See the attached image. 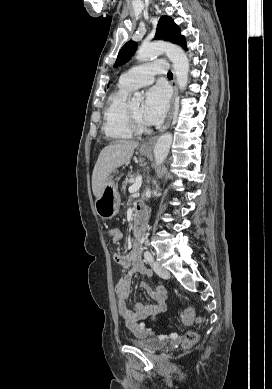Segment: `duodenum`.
<instances>
[{"label":"duodenum","mask_w":272,"mask_h":389,"mask_svg":"<svg viewBox=\"0 0 272 389\" xmlns=\"http://www.w3.org/2000/svg\"><path fill=\"white\" fill-rule=\"evenodd\" d=\"M147 216L142 210H135L134 214V236L139 239L146 228Z\"/></svg>","instance_id":"410a0bca"}]
</instances>
